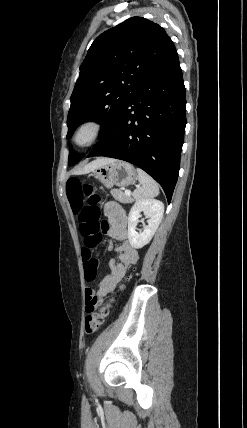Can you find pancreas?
<instances>
[{"label": "pancreas", "instance_id": "obj_1", "mask_svg": "<svg viewBox=\"0 0 247 428\" xmlns=\"http://www.w3.org/2000/svg\"><path fill=\"white\" fill-rule=\"evenodd\" d=\"M111 194L115 200L121 203H132L134 201L131 196L126 195L120 189H112Z\"/></svg>", "mask_w": 247, "mask_h": 428}]
</instances>
